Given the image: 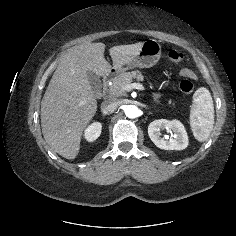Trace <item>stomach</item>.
I'll return each instance as SVG.
<instances>
[{
    "label": "stomach",
    "mask_w": 236,
    "mask_h": 236,
    "mask_svg": "<svg viewBox=\"0 0 236 236\" xmlns=\"http://www.w3.org/2000/svg\"><path fill=\"white\" fill-rule=\"evenodd\" d=\"M161 57V45L157 40L149 39L143 42L141 50L132 61L123 67L120 72L133 68H150L154 66Z\"/></svg>",
    "instance_id": "1"
}]
</instances>
